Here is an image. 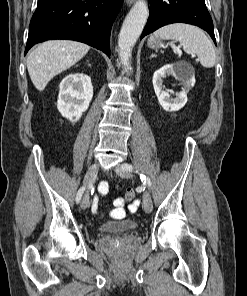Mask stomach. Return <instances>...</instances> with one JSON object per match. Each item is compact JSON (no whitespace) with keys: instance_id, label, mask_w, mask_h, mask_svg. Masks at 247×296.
Wrapping results in <instances>:
<instances>
[{"instance_id":"0dacf381","label":"stomach","mask_w":247,"mask_h":296,"mask_svg":"<svg viewBox=\"0 0 247 296\" xmlns=\"http://www.w3.org/2000/svg\"><path fill=\"white\" fill-rule=\"evenodd\" d=\"M148 46L151 48H159L163 46V43L159 38L151 37L148 39Z\"/></svg>"}]
</instances>
